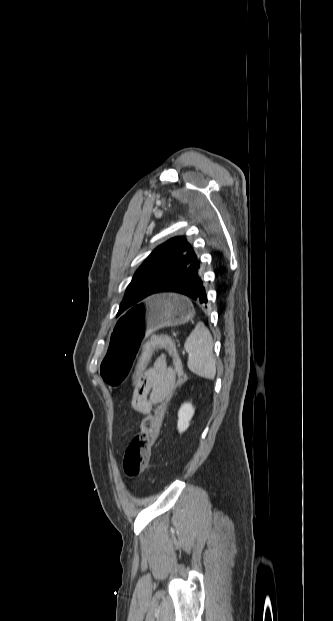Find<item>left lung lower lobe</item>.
Here are the masks:
<instances>
[{"instance_id": "0a47b994", "label": "left lung lower lobe", "mask_w": 333, "mask_h": 621, "mask_svg": "<svg viewBox=\"0 0 333 621\" xmlns=\"http://www.w3.org/2000/svg\"><path fill=\"white\" fill-rule=\"evenodd\" d=\"M200 265L187 269L165 283L156 293L175 292L186 295L196 302L206 305L207 295L199 274Z\"/></svg>"}]
</instances>
